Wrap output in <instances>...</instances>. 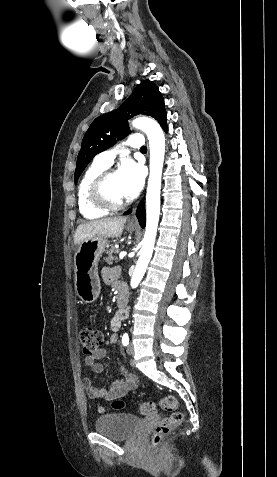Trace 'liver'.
Wrapping results in <instances>:
<instances>
[{
  "label": "liver",
  "mask_w": 277,
  "mask_h": 477,
  "mask_svg": "<svg viewBox=\"0 0 277 477\" xmlns=\"http://www.w3.org/2000/svg\"><path fill=\"white\" fill-rule=\"evenodd\" d=\"M126 220V217L119 216L80 224L74 235V244L78 246L83 240L93 236L120 237Z\"/></svg>",
  "instance_id": "obj_1"
}]
</instances>
